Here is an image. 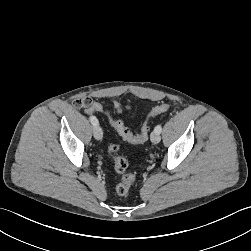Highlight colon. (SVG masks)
<instances>
[{
    "label": "colon",
    "mask_w": 251,
    "mask_h": 251,
    "mask_svg": "<svg viewBox=\"0 0 251 251\" xmlns=\"http://www.w3.org/2000/svg\"><path fill=\"white\" fill-rule=\"evenodd\" d=\"M169 109L170 105L168 104H161L152 108L147 119L143 123L140 132L137 134H133L120 121H117V116L113 114V109L111 107H106L98 101H95L90 107L85 108L84 113L88 117L94 116L96 113L101 114L108 119V125L114 127L126 141L131 144H144L149 138V118L162 114ZM108 153L114 161L115 171L119 174H123L128 167V163L125 158L118 154V147L115 144L110 145ZM135 179L136 177L132 173L123 174L120 181L115 186L116 193L118 195H126Z\"/></svg>",
    "instance_id": "1"
}]
</instances>
